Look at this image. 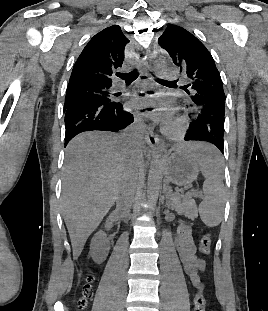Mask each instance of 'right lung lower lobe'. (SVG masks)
Masks as SVG:
<instances>
[{
    "mask_svg": "<svg viewBox=\"0 0 268 311\" xmlns=\"http://www.w3.org/2000/svg\"><path fill=\"white\" fill-rule=\"evenodd\" d=\"M133 122L120 102L109 105L72 102L65 108V146L77 134L101 130L117 132Z\"/></svg>",
    "mask_w": 268,
    "mask_h": 311,
    "instance_id": "98d812e1",
    "label": "right lung lower lobe"
}]
</instances>
